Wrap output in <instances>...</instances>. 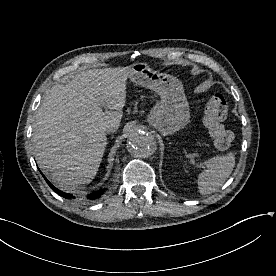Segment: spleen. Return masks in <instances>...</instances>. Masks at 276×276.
<instances>
[{
    "label": "spleen",
    "mask_w": 276,
    "mask_h": 276,
    "mask_svg": "<svg viewBox=\"0 0 276 276\" xmlns=\"http://www.w3.org/2000/svg\"><path fill=\"white\" fill-rule=\"evenodd\" d=\"M205 164L206 169L198 176V189L202 195L214 193L225 183L235 166V156L233 153L216 156Z\"/></svg>",
    "instance_id": "obj_1"
}]
</instances>
